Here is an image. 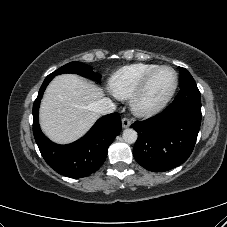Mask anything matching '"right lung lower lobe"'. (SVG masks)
I'll use <instances>...</instances> for the list:
<instances>
[{
	"label": "right lung lower lobe",
	"instance_id": "right-lung-lower-lobe-1",
	"mask_svg": "<svg viewBox=\"0 0 227 227\" xmlns=\"http://www.w3.org/2000/svg\"><path fill=\"white\" fill-rule=\"evenodd\" d=\"M53 77L47 76L33 105V134L39 150L47 164L57 173L71 177H86L104 163L109 145L121 131L118 113L100 118L79 140L68 145L50 141L41 131L38 111L43 93Z\"/></svg>",
	"mask_w": 227,
	"mask_h": 227
}]
</instances>
